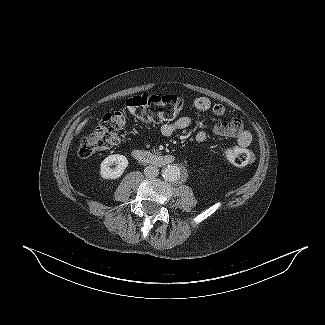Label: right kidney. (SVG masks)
<instances>
[{"label":"right kidney","instance_id":"right-kidney-1","mask_svg":"<svg viewBox=\"0 0 325 325\" xmlns=\"http://www.w3.org/2000/svg\"><path fill=\"white\" fill-rule=\"evenodd\" d=\"M112 165L116 167L111 168ZM127 166L128 159L124 155H109L100 165V174L104 179H117L123 174Z\"/></svg>","mask_w":325,"mask_h":325}]
</instances>
